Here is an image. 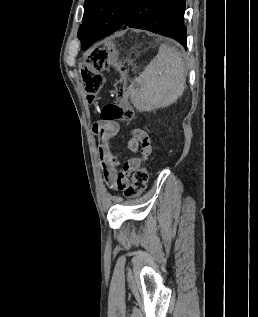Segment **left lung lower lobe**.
<instances>
[{
  "label": "left lung lower lobe",
  "instance_id": "left-lung-lower-lobe-1",
  "mask_svg": "<svg viewBox=\"0 0 258 317\" xmlns=\"http://www.w3.org/2000/svg\"><path fill=\"white\" fill-rule=\"evenodd\" d=\"M185 0H132L121 27H131L151 31L178 41L187 49L186 27L183 24ZM119 28L98 27L81 39L87 49Z\"/></svg>",
  "mask_w": 258,
  "mask_h": 317
}]
</instances>
